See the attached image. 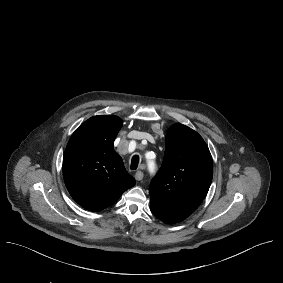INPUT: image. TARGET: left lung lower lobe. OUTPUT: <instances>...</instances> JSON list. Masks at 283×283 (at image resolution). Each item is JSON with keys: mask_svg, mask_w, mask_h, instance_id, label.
<instances>
[{"mask_svg": "<svg viewBox=\"0 0 283 283\" xmlns=\"http://www.w3.org/2000/svg\"><path fill=\"white\" fill-rule=\"evenodd\" d=\"M150 210L158 219H160L161 221L167 224H174L180 222L191 214V212L189 211L175 209V208H168L151 202H150Z\"/></svg>", "mask_w": 283, "mask_h": 283, "instance_id": "obj_1", "label": "left lung lower lobe"}]
</instances>
